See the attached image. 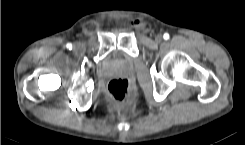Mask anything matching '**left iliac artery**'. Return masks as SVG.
<instances>
[{
	"label": "left iliac artery",
	"mask_w": 245,
	"mask_h": 145,
	"mask_svg": "<svg viewBox=\"0 0 245 145\" xmlns=\"http://www.w3.org/2000/svg\"><path fill=\"white\" fill-rule=\"evenodd\" d=\"M163 38H164L165 40L169 39V34H168V33H165V34L163 35Z\"/></svg>",
	"instance_id": "obj_1"
}]
</instances>
